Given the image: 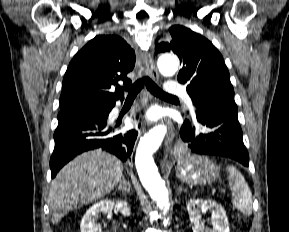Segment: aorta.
<instances>
[{"label": "aorta", "instance_id": "obj_1", "mask_svg": "<svg viewBox=\"0 0 289 232\" xmlns=\"http://www.w3.org/2000/svg\"><path fill=\"white\" fill-rule=\"evenodd\" d=\"M158 68L163 75L172 76L177 71L178 64L174 57H163L159 60ZM166 131V126L158 125L145 134L140 139L135 157V165L142 185L156 205L164 211H167L170 206L168 190L158 173L152 155L161 145ZM167 223L164 221L165 225Z\"/></svg>", "mask_w": 289, "mask_h": 232}]
</instances>
